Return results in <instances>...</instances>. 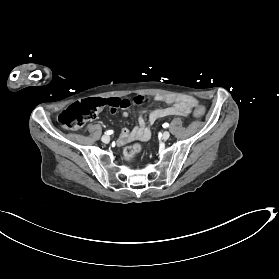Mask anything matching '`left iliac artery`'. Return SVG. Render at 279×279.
<instances>
[{
	"instance_id": "left-iliac-artery-1",
	"label": "left iliac artery",
	"mask_w": 279,
	"mask_h": 279,
	"mask_svg": "<svg viewBox=\"0 0 279 279\" xmlns=\"http://www.w3.org/2000/svg\"><path fill=\"white\" fill-rule=\"evenodd\" d=\"M163 127H164V128H168V127H169V124H168V123H164V124H163Z\"/></svg>"
}]
</instances>
